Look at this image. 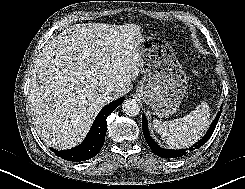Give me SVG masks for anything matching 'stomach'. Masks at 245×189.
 Instances as JSON below:
<instances>
[{"instance_id": "0dacf381", "label": "stomach", "mask_w": 245, "mask_h": 189, "mask_svg": "<svg viewBox=\"0 0 245 189\" xmlns=\"http://www.w3.org/2000/svg\"><path fill=\"white\" fill-rule=\"evenodd\" d=\"M142 80L136 93L158 117L174 114L187 93L188 79L170 44L147 37L138 42Z\"/></svg>"}]
</instances>
